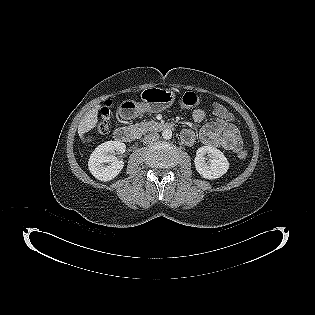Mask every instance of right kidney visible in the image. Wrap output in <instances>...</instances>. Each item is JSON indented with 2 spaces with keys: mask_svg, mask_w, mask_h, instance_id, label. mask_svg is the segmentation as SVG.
<instances>
[{
  "mask_svg": "<svg viewBox=\"0 0 315 315\" xmlns=\"http://www.w3.org/2000/svg\"><path fill=\"white\" fill-rule=\"evenodd\" d=\"M125 149V144L119 141H107L99 145L89 158L91 174L104 182L114 179L124 167V162L115 153H124Z\"/></svg>",
  "mask_w": 315,
  "mask_h": 315,
  "instance_id": "right-kidney-1",
  "label": "right kidney"
}]
</instances>
